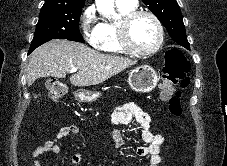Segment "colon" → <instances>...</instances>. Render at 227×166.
<instances>
[{
    "label": "colon",
    "instance_id": "1",
    "mask_svg": "<svg viewBox=\"0 0 227 166\" xmlns=\"http://www.w3.org/2000/svg\"><path fill=\"white\" fill-rule=\"evenodd\" d=\"M188 70L189 64L184 54L178 49H170L166 54L160 96L163 100L169 102V111L174 116H179L182 112L180 99L175 94L174 87L179 83L183 86L187 85ZM47 87L51 100L55 102L61 100L67 92L65 85L56 79L49 80Z\"/></svg>",
    "mask_w": 227,
    "mask_h": 166
}]
</instances>
